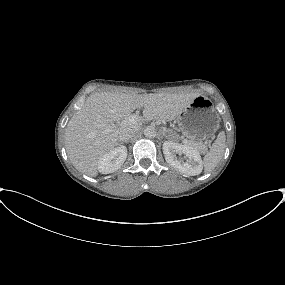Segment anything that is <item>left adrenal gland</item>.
<instances>
[{"label": "left adrenal gland", "mask_w": 285, "mask_h": 285, "mask_svg": "<svg viewBox=\"0 0 285 285\" xmlns=\"http://www.w3.org/2000/svg\"><path fill=\"white\" fill-rule=\"evenodd\" d=\"M162 134L165 136V138L170 139V137L167 135V130L163 129Z\"/></svg>", "instance_id": "1"}]
</instances>
